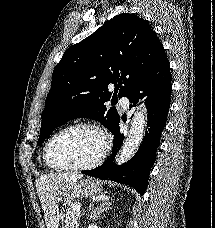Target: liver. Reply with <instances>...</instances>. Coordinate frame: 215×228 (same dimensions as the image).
<instances>
[{
	"label": "liver",
	"instance_id": "liver-1",
	"mask_svg": "<svg viewBox=\"0 0 215 228\" xmlns=\"http://www.w3.org/2000/svg\"><path fill=\"white\" fill-rule=\"evenodd\" d=\"M80 178L83 176L76 174V172H66V174H43L35 180L47 228H59V200L56 196L60 184L77 182Z\"/></svg>",
	"mask_w": 215,
	"mask_h": 228
}]
</instances>
